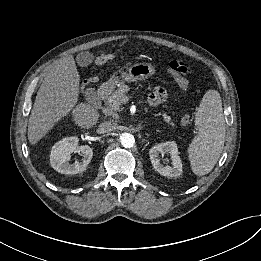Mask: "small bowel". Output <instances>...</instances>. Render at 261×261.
Returning a JSON list of instances; mask_svg holds the SVG:
<instances>
[{"mask_svg": "<svg viewBox=\"0 0 261 261\" xmlns=\"http://www.w3.org/2000/svg\"><path fill=\"white\" fill-rule=\"evenodd\" d=\"M176 82L183 89H185V87L188 86V81L186 79L182 81L176 79ZM166 98H167L166 91L161 87H156L149 97V104L151 106L159 105L163 103L166 100ZM182 121L184 124H187L189 122V117L187 115H184Z\"/></svg>", "mask_w": 261, "mask_h": 261, "instance_id": "obj_1", "label": "small bowel"}]
</instances>
